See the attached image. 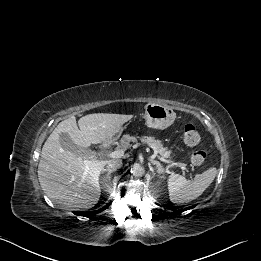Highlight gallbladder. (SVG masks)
Returning <instances> with one entry per match:
<instances>
[{"label": "gallbladder", "instance_id": "bac80fb5", "mask_svg": "<svg viewBox=\"0 0 261 261\" xmlns=\"http://www.w3.org/2000/svg\"><path fill=\"white\" fill-rule=\"evenodd\" d=\"M60 144L63 149L70 151L76 155H79L81 157H88L91 155V150L88 148H83L78 146L74 143L72 138L67 133H61L60 137Z\"/></svg>", "mask_w": 261, "mask_h": 261}]
</instances>
